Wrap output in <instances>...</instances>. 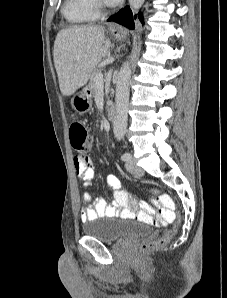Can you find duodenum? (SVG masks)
<instances>
[{
	"instance_id": "1",
	"label": "duodenum",
	"mask_w": 227,
	"mask_h": 298,
	"mask_svg": "<svg viewBox=\"0 0 227 298\" xmlns=\"http://www.w3.org/2000/svg\"><path fill=\"white\" fill-rule=\"evenodd\" d=\"M116 111H117L116 105L114 103H110L107 108V118L109 120H113L116 116Z\"/></svg>"
}]
</instances>
